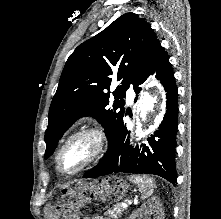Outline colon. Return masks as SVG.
<instances>
[{
    "instance_id": "1",
    "label": "colon",
    "mask_w": 221,
    "mask_h": 219,
    "mask_svg": "<svg viewBox=\"0 0 221 219\" xmlns=\"http://www.w3.org/2000/svg\"><path fill=\"white\" fill-rule=\"evenodd\" d=\"M76 206L77 204H75L74 201H71L70 199H64L62 201L61 210L68 216V219H77L75 215Z\"/></svg>"
}]
</instances>
